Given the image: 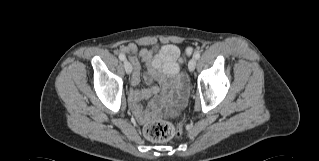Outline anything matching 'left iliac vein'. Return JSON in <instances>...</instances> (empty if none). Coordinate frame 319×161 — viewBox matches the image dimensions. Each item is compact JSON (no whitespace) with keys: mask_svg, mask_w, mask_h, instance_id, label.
Wrapping results in <instances>:
<instances>
[{"mask_svg":"<svg viewBox=\"0 0 319 161\" xmlns=\"http://www.w3.org/2000/svg\"><path fill=\"white\" fill-rule=\"evenodd\" d=\"M196 63H197V59H195V58H192V59L189 61V64H188V69H189V71L192 72V71L195 70Z\"/></svg>","mask_w":319,"mask_h":161,"instance_id":"left-iliac-vein-1","label":"left iliac vein"}]
</instances>
